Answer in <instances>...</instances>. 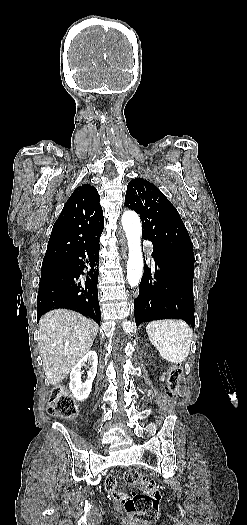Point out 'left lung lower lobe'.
Segmentation results:
<instances>
[{
  "label": "left lung lower lobe",
  "instance_id": "0a47b994",
  "mask_svg": "<svg viewBox=\"0 0 247 525\" xmlns=\"http://www.w3.org/2000/svg\"><path fill=\"white\" fill-rule=\"evenodd\" d=\"M142 238L153 242L152 255L156 266L155 271L145 267L139 295L134 300L136 325L177 318L187 321L194 329V266L167 253L154 239L146 236Z\"/></svg>",
  "mask_w": 247,
  "mask_h": 525
}]
</instances>
